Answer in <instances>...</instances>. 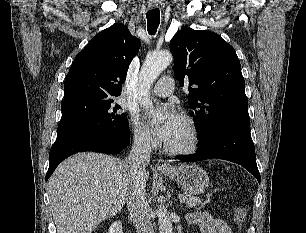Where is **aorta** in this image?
Here are the masks:
<instances>
[{"label": "aorta", "mask_w": 306, "mask_h": 233, "mask_svg": "<svg viewBox=\"0 0 306 233\" xmlns=\"http://www.w3.org/2000/svg\"><path fill=\"white\" fill-rule=\"evenodd\" d=\"M173 57L170 52L162 51L148 55L145 59L139 74V95L138 101L145 109H151L152 101L149 97V90L154 81L172 62ZM158 225L160 233H173V226L167 215L164 205L158 206Z\"/></svg>", "instance_id": "obj_1"}]
</instances>
